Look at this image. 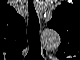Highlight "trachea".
I'll list each match as a JSON object with an SVG mask.
<instances>
[{
	"label": "trachea",
	"instance_id": "3493384b",
	"mask_svg": "<svg viewBox=\"0 0 80 60\" xmlns=\"http://www.w3.org/2000/svg\"><path fill=\"white\" fill-rule=\"evenodd\" d=\"M28 44L31 56L41 57V42L39 38V19L35 11L33 1L29 0Z\"/></svg>",
	"mask_w": 80,
	"mask_h": 60
}]
</instances>
